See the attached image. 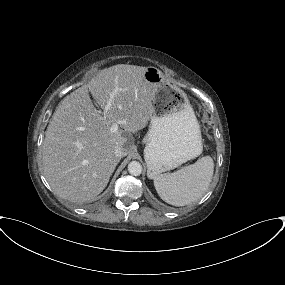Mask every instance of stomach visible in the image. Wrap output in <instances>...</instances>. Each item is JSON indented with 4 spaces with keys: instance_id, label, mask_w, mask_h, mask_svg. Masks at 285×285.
<instances>
[{
    "instance_id": "obj_1",
    "label": "stomach",
    "mask_w": 285,
    "mask_h": 285,
    "mask_svg": "<svg viewBox=\"0 0 285 285\" xmlns=\"http://www.w3.org/2000/svg\"><path fill=\"white\" fill-rule=\"evenodd\" d=\"M144 79L154 90L149 131L143 141L147 175L152 179L196 158L203 145L187 95L156 67H146Z\"/></svg>"
}]
</instances>
